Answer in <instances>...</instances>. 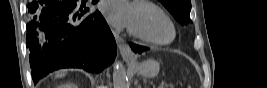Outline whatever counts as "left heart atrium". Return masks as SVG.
<instances>
[{"label": "left heart atrium", "mask_w": 267, "mask_h": 88, "mask_svg": "<svg viewBox=\"0 0 267 88\" xmlns=\"http://www.w3.org/2000/svg\"><path fill=\"white\" fill-rule=\"evenodd\" d=\"M133 6L125 0H109L101 5V11L109 23L116 27L130 26Z\"/></svg>", "instance_id": "1"}]
</instances>
